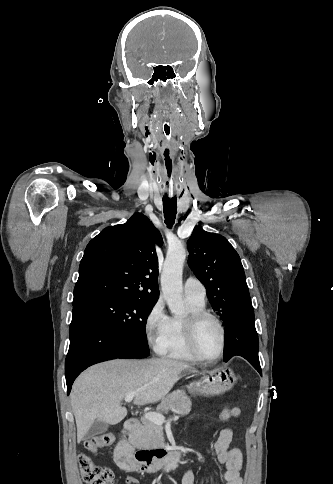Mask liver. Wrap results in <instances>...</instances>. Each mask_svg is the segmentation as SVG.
Instances as JSON below:
<instances>
[{"instance_id":"obj_1","label":"liver","mask_w":333,"mask_h":484,"mask_svg":"<svg viewBox=\"0 0 333 484\" xmlns=\"http://www.w3.org/2000/svg\"><path fill=\"white\" fill-rule=\"evenodd\" d=\"M190 364L165 358L111 360L88 368L74 382L70 393L78 443L94 421L115 425L127 415L126 395L136 393L135 405L163 399L182 373H194Z\"/></svg>"}]
</instances>
